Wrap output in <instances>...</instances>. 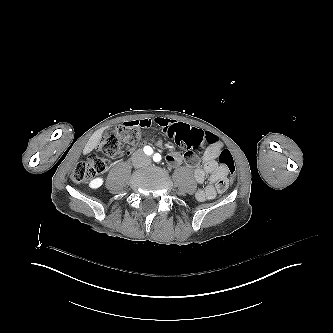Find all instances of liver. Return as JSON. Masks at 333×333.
Listing matches in <instances>:
<instances>
[{"label": "liver", "mask_w": 333, "mask_h": 333, "mask_svg": "<svg viewBox=\"0 0 333 333\" xmlns=\"http://www.w3.org/2000/svg\"><path fill=\"white\" fill-rule=\"evenodd\" d=\"M110 126H105V127H102L98 130H96L92 136L89 138V140L87 141L84 149H83V154L86 155L88 153H90L93 149H95L101 138H102V134L104 132V130L108 129Z\"/></svg>", "instance_id": "liver-1"}]
</instances>
